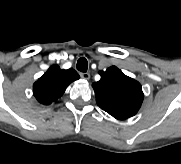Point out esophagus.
Returning <instances> with one entry per match:
<instances>
[{
  "label": "esophagus",
  "mask_w": 181,
  "mask_h": 164,
  "mask_svg": "<svg viewBox=\"0 0 181 164\" xmlns=\"http://www.w3.org/2000/svg\"><path fill=\"white\" fill-rule=\"evenodd\" d=\"M80 76L83 78V79H85V80H89L90 79V74L89 73H87V72H82V73H80Z\"/></svg>",
  "instance_id": "obj_1"
}]
</instances>
